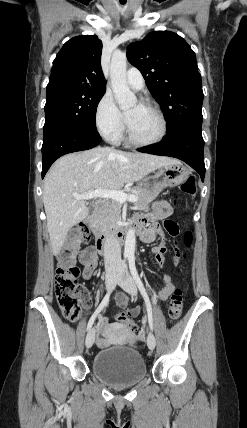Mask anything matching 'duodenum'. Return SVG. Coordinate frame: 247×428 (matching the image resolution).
<instances>
[{"label":"duodenum","mask_w":247,"mask_h":428,"mask_svg":"<svg viewBox=\"0 0 247 428\" xmlns=\"http://www.w3.org/2000/svg\"><path fill=\"white\" fill-rule=\"evenodd\" d=\"M102 205V201H97L95 205L96 210L100 209ZM87 221L88 223L93 224L95 221V215L90 216ZM144 226V222L138 217L132 219L127 223H120L116 226V228L111 234H98L96 248L100 253H104L113 246L121 245L126 233L129 230L141 235L144 230Z\"/></svg>","instance_id":"obj_1"}]
</instances>
